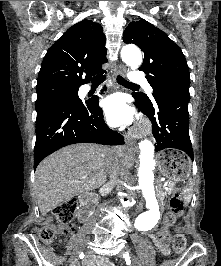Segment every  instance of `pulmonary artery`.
<instances>
[{"instance_id":"e3ab8cb5","label":"pulmonary artery","mask_w":221,"mask_h":266,"mask_svg":"<svg viewBox=\"0 0 221 266\" xmlns=\"http://www.w3.org/2000/svg\"><path fill=\"white\" fill-rule=\"evenodd\" d=\"M130 78H131L132 82H134V83H140V82H143L144 79H145L144 74L141 73V72H135V73H133V74L130 76ZM147 90H148L149 92H152V88H151L149 85L147 86Z\"/></svg>"}]
</instances>
